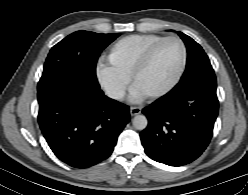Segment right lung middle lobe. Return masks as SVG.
<instances>
[{
  "instance_id": "1",
  "label": "right lung middle lobe",
  "mask_w": 248,
  "mask_h": 195,
  "mask_svg": "<svg viewBox=\"0 0 248 195\" xmlns=\"http://www.w3.org/2000/svg\"><path fill=\"white\" fill-rule=\"evenodd\" d=\"M119 35L77 31L64 38L50 50L38 91L62 82L100 88L96 77L98 57Z\"/></svg>"
}]
</instances>
